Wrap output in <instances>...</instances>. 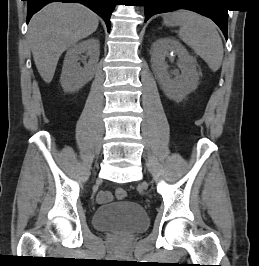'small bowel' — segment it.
<instances>
[{
    "label": "small bowel",
    "instance_id": "c3829d8e",
    "mask_svg": "<svg viewBox=\"0 0 259 266\" xmlns=\"http://www.w3.org/2000/svg\"><path fill=\"white\" fill-rule=\"evenodd\" d=\"M112 194L108 191H101L97 194L96 200L98 203H107L112 200Z\"/></svg>",
    "mask_w": 259,
    "mask_h": 266
}]
</instances>
